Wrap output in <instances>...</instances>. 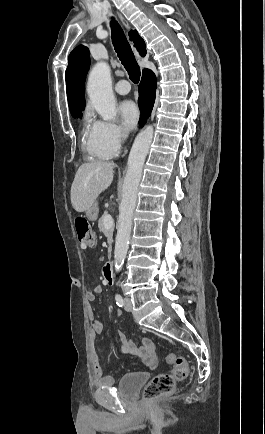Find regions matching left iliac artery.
Segmentation results:
<instances>
[{"label":"left iliac artery","instance_id":"obj_1","mask_svg":"<svg viewBox=\"0 0 265 434\" xmlns=\"http://www.w3.org/2000/svg\"><path fill=\"white\" fill-rule=\"evenodd\" d=\"M115 300H116V304H117L119 307H122V306H123V298H122V296H121L120 294H116V296H115Z\"/></svg>","mask_w":265,"mask_h":434}]
</instances>
